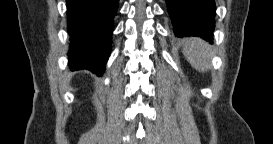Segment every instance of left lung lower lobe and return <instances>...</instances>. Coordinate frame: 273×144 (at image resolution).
<instances>
[{"mask_svg": "<svg viewBox=\"0 0 273 144\" xmlns=\"http://www.w3.org/2000/svg\"><path fill=\"white\" fill-rule=\"evenodd\" d=\"M176 37L198 36L212 43L214 0H166Z\"/></svg>", "mask_w": 273, "mask_h": 144, "instance_id": "left-lung-lower-lobe-1", "label": "left lung lower lobe"}]
</instances>
